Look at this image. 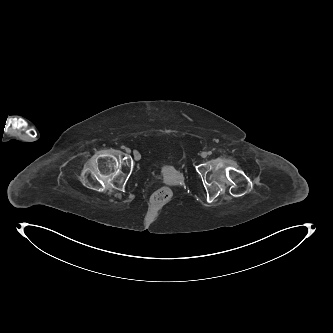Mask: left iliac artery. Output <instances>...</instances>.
I'll use <instances>...</instances> for the list:
<instances>
[{
    "instance_id": "44dca946",
    "label": "left iliac artery",
    "mask_w": 333,
    "mask_h": 333,
    "mask_svg": "<svg viewBox=\"0 0 333 333\" xmlns=\"http://www.w3.org/2000/svg\"><path fill=\"white\" fill-rule=\"evenodd\" d=\"M208 154H209V155L212 154V151H209Z\"/></svg>"
}]
</instances>
